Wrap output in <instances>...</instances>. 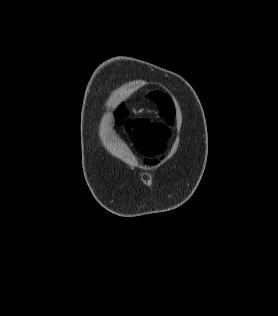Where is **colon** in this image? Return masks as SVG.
<instances>
[{
  "label": "colon",
  "mask_w": 278,
  "mask_h": 316,
  "mask_svg": "<svg viewBox=\"0 0 278 316\" xmlns=\"http://www.w3.org/2000/svg\"><path fill=\"white\" fill-rule=\"evenodd\" d=\"M117 124L124 127L136 150L143 155L157 156L165 151L170 131L164 124L127 117H118Z\"/></svg>",
  "instance_id": "obj_1"
}]
</instances>
